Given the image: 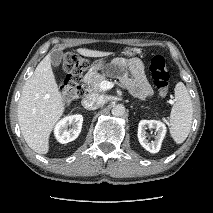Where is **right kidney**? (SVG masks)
Segmentation results:
<instances>
[{
  "label": "right kidney",
  "mask_w": 213,
  "mask_h": 213,
  "mask_svg": "<svg viewBox=\"0 0 213 213\" xmlns=\"http://www.w3.org/2000/svg\"><path fill=\"white\" fill-rule=\"evenodd\" d=\"M82 123L83 116L80 114L64 117L55 126L54 134L57 141L66 144L75 140L81 132ZM71 126L72 128L68 129Z\"/></svg>",
  "instance_id": "obj_1"
}]
</instances>
